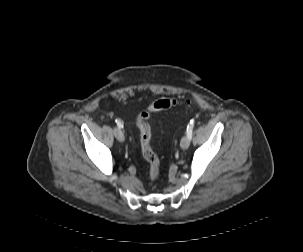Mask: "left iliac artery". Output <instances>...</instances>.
Segmentation results:
<instances>
[{
    "mask_svg": "<svg viewBox=\"0 0 303 252\" xmlns=\"http://www.w3.org/2000/svg\"><path fill=\"white\" fill-rule=\"evenodd\" d=\"M194 123H195V120L192 119L190 121V123L188 124V126H187V134L190 135L191 137H192V131H193Z\"/></svg>",
    "mask_w": 303,
    "mask_h": 252,
    "instance_id": "left-iliac-artery-1",
    "label": "left iliac artery"
}]
</instances>
